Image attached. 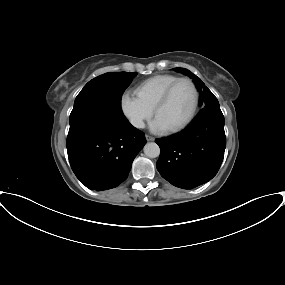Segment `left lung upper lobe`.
I'll list each match as a JSON object with an SVG mask.
<instances>
[{"mask_svg": "<svg viewBox=\"0 0 285 285\" xmlns=\"http://www.w3.org/2000/svg\"><path fill=\"white\" fill-rule=\"evenodd\" d=\"M173 70L191 77L196 87L200 90V104H203V108L200 110L198 116L207 112H221L217 98L207 87L204 86V83L196 75L185 68H174Z\"/></svg>", "mask_w": 285, "mask_h": 285, "instance_id": "5c2ea615", "label": "left lung upper lobe"}]
</instances>
